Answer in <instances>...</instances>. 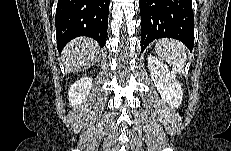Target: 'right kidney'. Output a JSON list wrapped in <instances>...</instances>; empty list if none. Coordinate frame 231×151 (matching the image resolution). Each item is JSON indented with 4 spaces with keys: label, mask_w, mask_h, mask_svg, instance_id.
Masks as SVG:
<instances>
[{
    "label": "right kidney",
    "mask_w": 231,
    "mask_h": 151,
    "mask_svg": "<svg viewBox=\"0 0 231 151\" xmlns=\"http://www.w3.org/2000/svg\"><path fill=\"white\" fill-rule=\"evenodd\" d=\"M91 87L92 79L89 77H83L73 83L68 92L70 105L75 107L81 104L89 95Z\"/></svg>",
    "instance_id": "ca27d5eb"
}]
</instances>
